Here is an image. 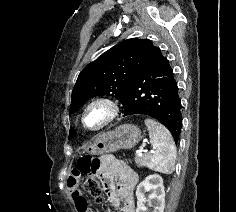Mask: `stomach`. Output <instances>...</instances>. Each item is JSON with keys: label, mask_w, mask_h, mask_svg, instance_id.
<instances>
[{"label": "stomach", "mask_w": 236, "mask_h": 212, "mask_svg": "<svg viewBox=\"0 0 236 212\" xmlns=\"http://www.w3.org/2000/svg\"><path fill=\"white\" fill-rule=\"evenodd\" d=\"M142 139L141 130L133 124H124L115 130L99 134L87 151L93 155L112 153L120 149H131Z\"/></svg>", "instance_id": "stomach-1"}]
</instances>
